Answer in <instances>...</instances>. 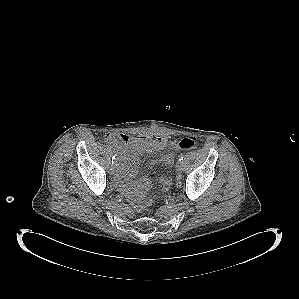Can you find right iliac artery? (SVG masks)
Returning a JSON list of instances; mask_svg holds the SVG:
<instances>
[{"mask_svg":"<svg viewBox=\"0 0 299 299\" xmlns=\"http://www.w3.org/2000/svg\"><path fill=\"white\" fill-rule=\"evenodd\" d=\"M115 160V156L112 157V162Z\"/></svg>","mask_w":299,"mask_h":299,"instance_id":"1","label":"right iliac artery"}]
</instances>
